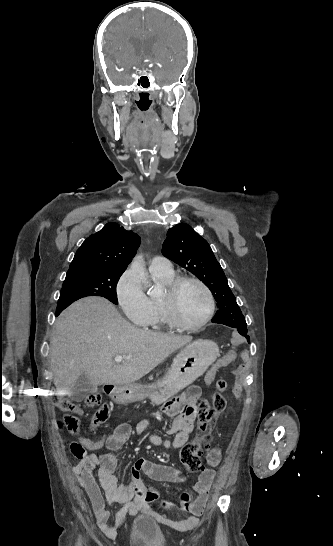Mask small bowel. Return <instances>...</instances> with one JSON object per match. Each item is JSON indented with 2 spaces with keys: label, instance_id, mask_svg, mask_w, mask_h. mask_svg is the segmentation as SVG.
<instances>
[{
  "label": "small bowel",
  "instance_id": "small-bowel-1",
  "mask_svg": "<svg viewBox=\"0 0 333 546\" xmlns=\"http://www.w3.org/2000/svg\"><path fill=\"white\" fill-rule=\"evenodd\" d=\"M242 343V334L239 331H234L231 334L230 346L225 348L216 361L211 362L210 370L206 376L208 381H213L215 374L227 372L229 365H233L237 358L241 361L249 359L247 354H241L238 357L236 348ZM204 384L207 386L209 383L206 381ZM199 396V389L191 387L185 393L166 402L164 404L165 413L174 417L167 432L175 434V437L173 440H165L158 435H150L149 442L167 449H179L185 445L193 431V422L196 417L194 404ZM181 405L183 408L180 410ZM148 426L147 421L140 422L137 427L138 433H144ZM130 433L131 430L127 425H119L107 437L97 440L82 437L70 444V452L78 459L72 472L89 496L100 531L106 537L114 538L127 516H134L139 512L149 513L160 523L177 532L195 530L200 524L199 516L207 506L215 472L212 469H205L201 472L198 481L193 486L196 498L191 504L175 507L169 503H161L159 510L156 507V493L146 487L140 479V473L158 481H181L183 476L173 467L140 458L134 464L131 479L128 482H123L116 474L118 460L112 451L119 449L129 438ZM104 446L107 451L99 454L90 453ZM220 458L221 449L219 445H216L209 451L207 462L210 467H214ZM95 469H97L98 482L94 476ZM101 490L104 491V494ZM106 502L121 505L111 524L108 522L110 513L106 508ZM172 510L182 512L184 518L181 520L169 518L167 513Z\"/></svg>",
  "mask_w": 333,
  "mask_h": 546
}]
</instances>
